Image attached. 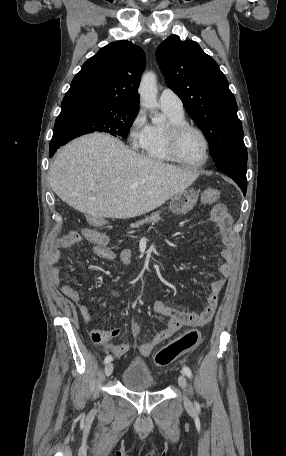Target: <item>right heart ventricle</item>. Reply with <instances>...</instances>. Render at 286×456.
<instances>
[{"label": "right heart ventricle", "mask_w": 286, "mask_h": 456, "mask_svg": "<svg viewBox=\"0 0 286 456\" xmlns=\"http://www.w3.org/2000/svg\"><path fill=\"white\" fill-rule=\"evenodd\" d=\"M163 111L167 116V123L186 121L184 113H176L167 109H163ZM167 123L164 125H150L148 128L147 136L140 148L142 153L150 160L157 162H174L168 154L165 144L164 132Z\"/></svg>", "instance_id": "obj_1"}]
</instances>
